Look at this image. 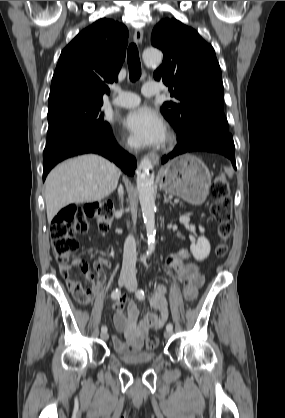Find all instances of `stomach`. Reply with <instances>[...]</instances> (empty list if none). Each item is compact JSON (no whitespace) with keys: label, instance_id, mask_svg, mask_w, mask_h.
Returning a JSON list of instances; mask_svg holds the SVG:
<instances>
[{"label":"stomach","instance_id":"1","mask_svg":"<svg viewBox=\"0 0 285 418\" xmlns=\"http://www.w3.org/2000/svg\"><path fill=\"white\" fill-rule=\"evenodd\" d=\"M159 176L166 193L177 195L194 205L206 200L211 174L198 157L192 154L176 157L160 170Z\"/></svg>","mask_w":285,"mask_h":418}]
</instances>
